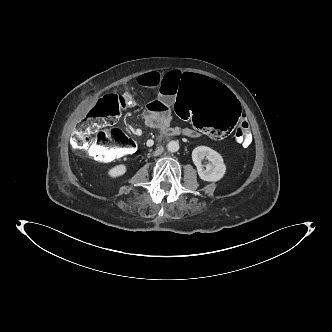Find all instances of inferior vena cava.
<instances>
[{"label": "inferior vena cava", "mask_w": 332, "mask_h": 332, "mask_svg": "<svg viewBox=\"0 0 332 332\" xmlns=\"http://www.w3.org/2000/svg\"><path fill=\"white\" fill-rule=\"evenodd\" d=\"M163 151V149H159L158 151H156V154H160Z\"/></svg>", "instance_id": "602c4592"}]
</instances>
